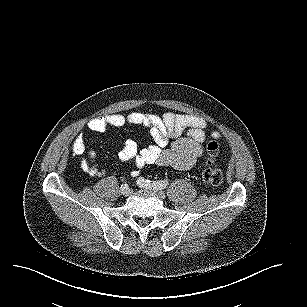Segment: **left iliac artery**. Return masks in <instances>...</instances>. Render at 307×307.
Instances as JSON below:
<instances>
[{
    "label": "left iliac artery",
    "instance_id": "44dca946",
    "mask_svg": "<svg viewBox=\"0 0 307 307\" xmlns=\"http://www.w3.org/2000/svg\"><path fill=\"white\" fill-rule=\"evenodd\" d=\"M139 185L142 187H153L158 190L165 189L167 185H169L168 180H158V181H153L151 182L150 180H145L143 177L138 179Z\"/></svg>",
    "mask_w": 307,
    "mask_h": 307
}]
</instances>
